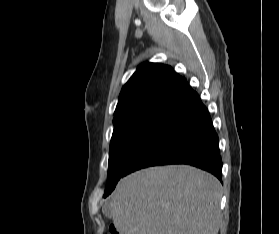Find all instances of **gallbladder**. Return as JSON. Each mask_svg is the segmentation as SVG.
<instances>
[{"label":"gallbladder","instance_id":"1","mask_svg":"<svg viewBox=\"0 0 279 234\" xmlns=\"http://www.w3.org/2000/svg\"><path fill=\"white\" fill-rule=\"evenodd\" d=\"M106 206V205H105ZM103 207V213L108 217L111 218V214L109 213V210L107 209V207Z\"/></svg>","mask_w":279,"mask_h":234}]
</instances>
